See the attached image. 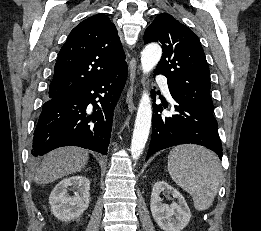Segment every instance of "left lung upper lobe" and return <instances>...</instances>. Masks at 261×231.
I'll return each mask as SVG.
<instances>
[{
    "instance_id": "1",
    "label": "left lung upper lobe",
    "mask_w": 261,
    "mask_h": 231,
    "mask_svg": "<svg viewBox=\"0 0 261 231\" xmlns=\"http://www.w3.org/2000/svg\"><path fill=\"white\" fill-rule=\"evenodd\" d=\"M144 41L161 43L163 54L154 73L167 77L171 95L213 113L210 73L198 37L163 13L146 29Z\"/></svg>"
}]
</instances>
